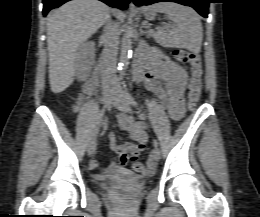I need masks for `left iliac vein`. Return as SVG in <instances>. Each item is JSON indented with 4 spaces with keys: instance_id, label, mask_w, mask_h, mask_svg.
<instances>
[{
    "instance_id": "left-iliac-vein-1",
    "label": "left iliac vein",
    "mask_w": 260,
    "mask_h": 217,
    "mask_svg": "<svg viewBox=\"0 0 260 217\" xmlns=\"http://www.w3.org/2000/svg\"><path fill=\"white\" fill-rule=\"evenodd\" d=\"M113 105L120 111L129 113L131 111L130 108V103L128 101V98L124 92L121 91V89L118 87L114 93L113 100H112ZM161 153L159 148L155 147L152 150L151 153V160L152 161H158L160 159Z\"/></svg>"
}]
</instances>
